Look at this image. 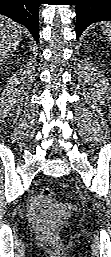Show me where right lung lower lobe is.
Wrapping results in <instances>:
<instances>
[{"instance_id": "obj_1", "label": "right lung lower lobe", "mask_w": 111, "mask_h": 257, "mask_svg": "<svg viewBox=\"0 0 111 257\" xmlns=\"http://www.w3.org/2000/svg\"><path fill=\"white\" fill-rule=\"evenodd\" d=\"M39 0H0V14L24 25L39 41Z\"/></svg>"}]
</instances>
